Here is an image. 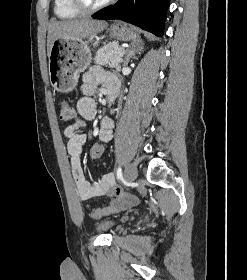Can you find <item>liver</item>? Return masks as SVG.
<instances>
[{
	"mask_svg": "<svg viewBox=\"0 0 247 280\" xmlns=\"http://www.w3.org/2000/svg\"><path fill=\"white\" fill-rule=\"evenodd\" d=\"M106 27L105 21L92 19L53 21L48 26L47 55L50 56L52 44L56 39H86L100 33Z\"/></svg>",
	"mask_w": 247,
	"mask_h": 280,
	"instance_id": "obj_1",
	"label": "liver"
}]
</instances>
